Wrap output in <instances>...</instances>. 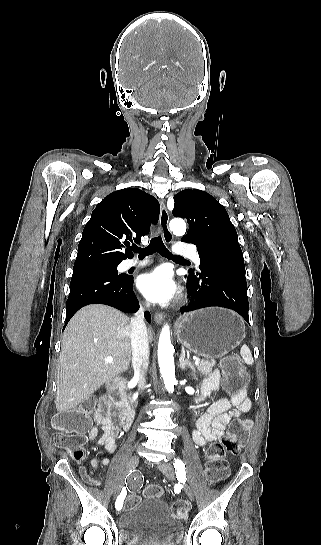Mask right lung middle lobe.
I'll use <instances>...</instances> for the list:
<instances>
[{
  "label": "right lung middle lobe",
  "instance_id": "right-lung-middle-lobe-1",
  "mask_svg": "<svg viewBox=\"0 0 321 545\" xmlns=\"http://www.w3.org/2000/svg\"><path fill=\"white\" fill-rule=\"evenodd\" d=\"M91 268L102 269V270H106V271H108V272H111V273H113V274L119 275V274L117 273V264H116V265L94 266V267H91Z\"/></svg>",
  "mask_w": 321,
  "mask_h": 545
}]
</instances>
